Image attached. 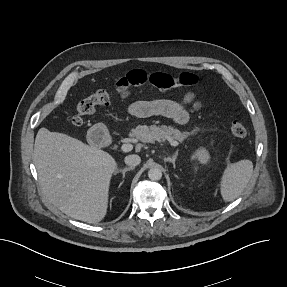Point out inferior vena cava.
I'll use <instances>...</instances> for the list:
<instances>
[{
	"label": "inferior vena cava",
	"mask_w": 287,
	"mask_h": 287,
	"mask_svg": "<svg viewBox=\"0 0 287 287\" xmlns=\"http://www.w3.org/2000/svg\"><path fill=\"white\" fill-rule=\"evenodd\" d=\"M125 164L130 167H135L140 164L141 158L138 155H128L125 157Z\"/></svg>",
	"instance_id": "inferior-vena-cava-1"
}]
</instances>
